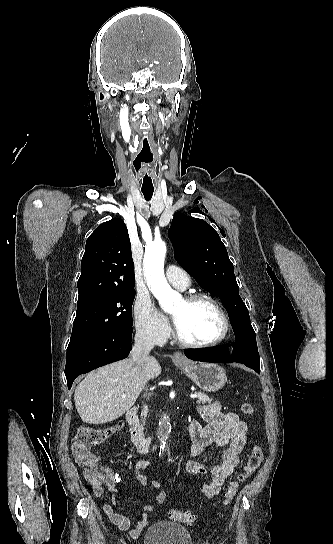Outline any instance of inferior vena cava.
Wrapping results in <instances>:
<instances>
[{
  "label": "inferior vena cava",
  "mask_w": 333,
  "mask_h": 544,
  "mask_svg": "<svg viewBox=\"0 0 333 544\" xmlns=\"http://www.w3.org/2000/svg\"><path fill=\"white\" fill-rule=\"evenodd\" d=\"M134 340L135 342L132 350V356L145 387L149 380L145 377L146 364L149 360L148 355L154 348V345L157 342V337L152 329L140 328L136 330Z\"/></svg>",
  "instance_id": "602c4592"
}]
</instances>
